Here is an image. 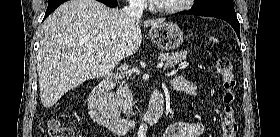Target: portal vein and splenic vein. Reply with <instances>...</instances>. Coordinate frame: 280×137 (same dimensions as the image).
<instances>
[{"instance_id": "1", "label": "portal vein and splenic vein", "mask_w": 280, "mask_h": 137, "mask_svg": "<svg viewBox=\"0 0 280 137\" xmlns=\"http://www.w3.org/2000/svg\"><path fill=\"white\" fill-rule=\"evenodd\" d=\"M97 56L101 57L102 54H101V53H98ZM163 65H164L163 62H161V63H159V64L157 65V68H162Z\"/></svg>"}]
</instances>
